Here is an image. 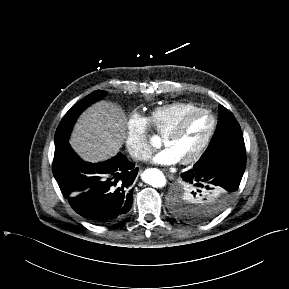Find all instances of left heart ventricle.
I'll return each mask as SVG.
<instances>
[{
  "instance_id": "left-heart-ventricle-1",
  "label": "left heart ventricle",
  "mask_w": 289,
  "mask_h": 289,
  "mask_svg": "<svg viewBox=\"0 0 289 289\" xmlns=\"http://www.w3.org/2000/svg\"><path fill=\"white\" fill-rule=\"evenodd\" d=\"M211 127V118L207 114H198L186 124L182 133L168 139L165 146L172 149L179 159L188 157L204 140Z\"/></svg>"
}]
</instances>
